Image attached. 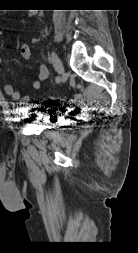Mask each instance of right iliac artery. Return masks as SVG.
Wrapping results in <instances>:
<instances>
[{"label": "right iliac artery", "mask_w": 138, "mask_h": 253, "mask_svg": "<svg viewBox=\"0 0 138 253\" xmlns=\"http://www.w3.org/2000/svg\"><path fill=\"white\" fill-rule=\"evenodd\" d=\"M59 80H60L59 77H57V78H56V82H59Z\"/></svg>", "instance_id": "1"}]
</instances>
